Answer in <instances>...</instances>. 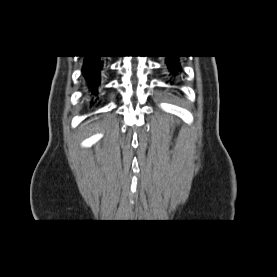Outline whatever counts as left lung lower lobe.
Returning a JSON list of instances; mask_svg holds the SVG:
<instances>
[{"label":"left lung lower lobe","mask_w":277,"mask_h":277,"mask_svg":"<svg viewBox=\"0 0 277 277\" xmlns=\"http://www.w3.org/2000/svg\"><path fill=\"white\" fill-rule=\"evenodd\" d=\"M169 59H167L166 65L167 68L169 69L170 72H172L173 74H175L179 68V62L175 57H179V56H168Z\"/></svg>","instance_id":"obj_1"}]
</instances>
